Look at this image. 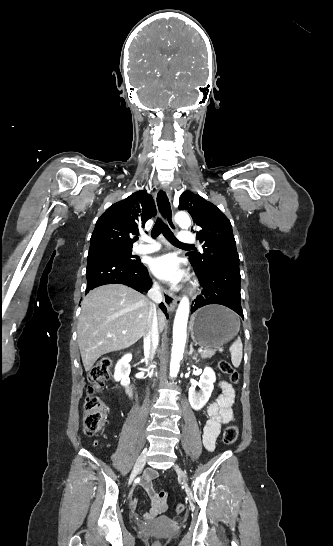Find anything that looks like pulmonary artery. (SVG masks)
<instances>
[{
	"mask_svg": "<svg viewBox=\"0 0 333 546\" xmlns=\"http://www.w3.org/2000/svg\"><path fill=\"white\" fill-rule=\"evenodd\" d=\"M179 242L183 244L194 243L196 241L195 235L189 231H181L178 235ZM160 249V245L150 239H145V243L139 244L135 247V252L138 254H149L156 252Z\"/></svg>",
	"mask_w": 333,
	"mask_h": 546,
	"instance_id": "1",
	"label": "pulmonary artery"
}]
</instances>
